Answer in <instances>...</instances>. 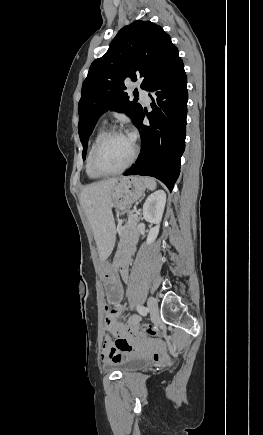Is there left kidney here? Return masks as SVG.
I'll list each match as a JSON object with an SVG mask.
<instances>
[{
    "instance_id": "5707ae66",
    "label": "left kidney",
    "mask_w": 263,
    "mask_h": 435,
    "mask_svg": "<svg viewBox=\"0 0 263 435\" xmlns=\"http://www.w3.org/2000/svg\"><path fill=\"white\" fill-rule=\"evenodd\" d=\"M166 193L164 190H157L150 194L143 205V217L146 221L155 224L147 236V245L155 241L158 236L160 222L164 213Z\"/></svg>"
}]
</instances>
